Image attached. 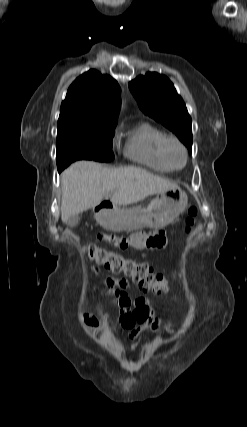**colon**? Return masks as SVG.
Here are the masks:
<instances>
[{"label": "colon", "mask_w": 247, "mask_h": 427, "mask_svg": "<svg viewBox=\"0 0 247 427\" xmlns=\"http://www.w3.org/2000/svg\"><path fill=\"white\" fill-rule=\"evenodd\" d=\"M196 215L197 210L190 208L185 222L186 233L191 232ZM84 252L90 260L102 265L105 269L115 273H123L131 277L142 291L163 293L167 290L168 284L165 277L155 272L147 263L127 259L114 251L102 248L96 244L86 245ZM91 322L93 323V321Z\"/></svg>", "instance_id": "1"}]
</instances>
